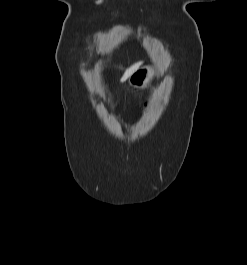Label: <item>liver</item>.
Masks as SVG:
<instances>
[{
  "mask_svg": "<svg viewBox=\"0 0 247 265\" xmlns=\"http://www.w3.org/2000/svg\"><path fill=\"white\" fill-rule=\"evenodd\" d=\"M141 64H142V62H138V63L133 64L130 68H128V69L125 71L123 77L121 78V81H124V80H126L127 78H129L130 75H131L134 71H136V70L140 67Z\"/></svg>",
  "mask_w": 247,
  "mask_h": 265,
  "instance_id": "liver-1",
  "label": "liver"
}]
</instances>
